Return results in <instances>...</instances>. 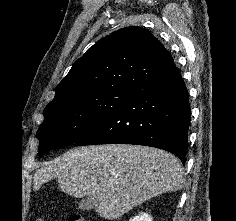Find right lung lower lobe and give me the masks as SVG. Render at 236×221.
Instances as JSON below:
<instances>
[{"label":"right lung lower lobe","mask_w":236,"mask_h":221,"mask_svg":"<svg viewBox=\"0 0 236 221\" xmlns=\"http://www.w3.org/2000/svg\"><path fill=\"white\" fill-rule=\"evenodd\" d=\"M189 94L176 65L139 88L75 146L135 144L169 151L185 163Z\"/></svg>","instance_id":"1"}]
</instances>
